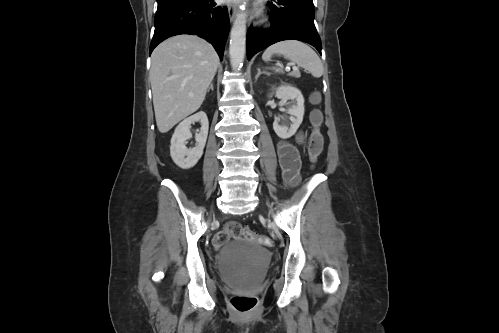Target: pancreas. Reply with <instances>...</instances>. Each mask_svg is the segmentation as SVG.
Returning a JSON list of instances; mask_svg holds the SVG:
<instances>
[{
	"mask_svg": "<svg viewBox=\"0 0 499 333\" xmlns=\"http://www.w3.org/2000/svg\"><path fill=\"white\" fill-rule=\"evenodd\" d=\"M289 76L299 78L301 76V74L298 70H293L292 72L289 73Z\"/></svg>",
	"mask_w": 499,
	"mask_h": 333,
	"instance_id": "cf45deb5",
	"label": "pancreas"
}]
</instances>
